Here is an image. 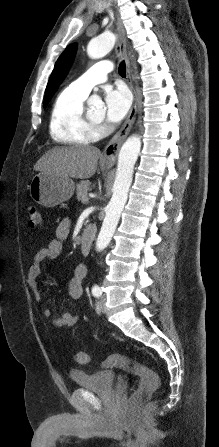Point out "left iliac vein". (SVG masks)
Here are the masks:
<instances>
[{
    "label": "left iliac vein",
    "mask_w": 219,
    "mask_h": 447,
    "mask_svg": "<svg viewBox=\"0 0 219 447\" xmlns=\"http://www.w3.org/2000/svg\"><path fill=\"white\" fill-rule=\"evenodd\" d=\"M101 308H102V311L105 310V297L101 298Z\"/></svg>",
    "instance_id": "obj_1"
}]
</instances>
